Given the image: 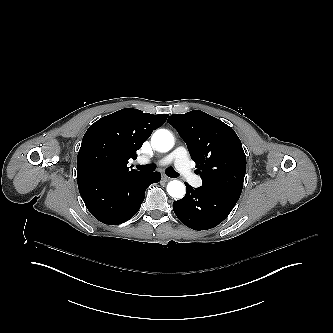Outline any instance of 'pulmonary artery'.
Returning <instances> with one entry per match:
<instances>
[{
  "label": "pulmonary artery",
  "instance_id": "e3ab8cb5",
  "mask_svg": "<svg viewBox=\"0 0 333 333\" xmlns=\"http://www.w3.org/2000/svg\"><path fill=\"white\" fill-rule=\"evenodd\" d=\"M189 148L187 146H182L179 148V150H172L170 154L163 157L162 159H154L153 165L154 166H167L171 161L174 160V157L176 159V173L182 174L183 180L189 183H192L193 186L198 187L201 185L202 180L200 177L195 176L193 172H191L190 167L187 165V162L189 160L188 154ZM146 166L152 165L151 159L145 160Z\"/></svg>",
  "mask_w": 333,
  "mask_h": 333
}]
</instances>
